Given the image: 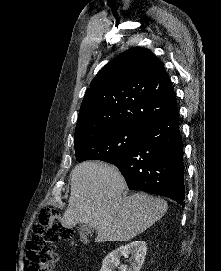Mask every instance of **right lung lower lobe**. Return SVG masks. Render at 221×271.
<instances>
[{"label":"right lung lower lobe","mask_w":221,"mask_h":271,"mask_svg":"<svg viewBox=\"0 0 221 271\" xmlns=\"http://www.w3.org/2000/svg\"><path fill=\"white\" fill-rule=\"evenodd\" d=\"M114 164L130 190L167 196L185 205L183 143L178 110L148 123L137 143Z\"/></svg>","instance_id":"1"}]
</instances>
